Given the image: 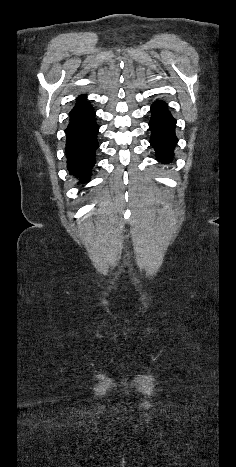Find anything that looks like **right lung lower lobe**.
<instances>
[{
    "label": "right lung lower lobe",
    "instance_id": "1",
    "mask_svg": "<svg viewBox=\"0 0 236 467\" xmlns=\"http://www.w3.org/2000/svg\"><path fill=\"white\" fill-rule=\"evenodd\" d=\"M69 115L70 123L66 129L65 148L67 167L70 174L84 183L89 181L92 168L96 163L98 126L95 121V112L85 101L75 106Z\"/></svg>",
    "mask_w": 236,
    "mask_h": 467
}]
</instances>
